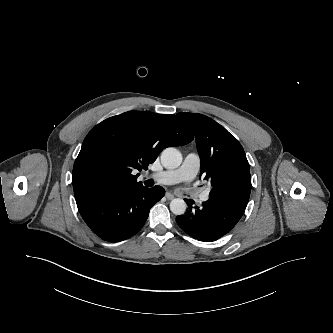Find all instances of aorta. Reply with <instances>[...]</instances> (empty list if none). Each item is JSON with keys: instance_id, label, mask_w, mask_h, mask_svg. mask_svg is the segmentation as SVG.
I'll return each instance as SVG.
<instances>
[{"instance_id": "1", "label": "aorta", "mask_w": 333, "mask_h": 333, "mask_svg": "<svg viewBox=\"0 0 333 333\" xmlns=\"http://www.w3.org/2000/svg\"><path fill=\"white\" fill-rule=\"evenodd\" d=\"M161 163L166 169H175L181 165L182 155L179 150L168 147L161 153ZM186 207V202L180 198H175L170 202V210L175 215L184 214Z\"/></svg>"}]
</instances>
